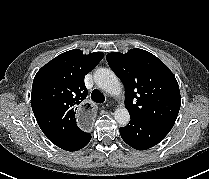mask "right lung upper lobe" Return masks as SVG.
I'll return each instance as SVG.
<instances>
[{"label":"right lung upper lobe","mask_w":209,"mask_h":179,"mask_svg":"<svg viewBox=\"0 0 209 179\" xmlns=\"http://www.w3.org/2000/svg\"><path fill=\"white\" fill-rule=\"evenodd\" d=\"M103 57L102 52L84 55L83 51L74 49L55 57L37 72L31 107L41 130L52 143L60 142L79 129L75 111L88 93L84 76Z\"/></svg>","instance_id":"obj_1"}]
</instances>
